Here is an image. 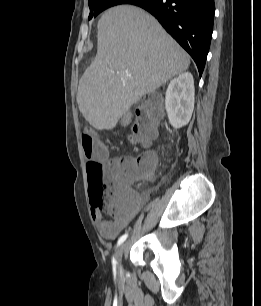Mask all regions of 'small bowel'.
<instances>
[{
  "label": "small bowel",
  "mask_w": 261,
  "mask_h": 306,
  "mask_svg": "<svg viewBox=\"0 0 261 306\" xmlns=\"http://www.w3.org/2000/svg\"><path fill=\"white\" fill-rule=\"evenodd\" d=\"M149 160L151 171L154 169L157 156L153 152H147L144 155ZM110 163L119 164L125 171L131 167H135L136 160L133 157H124L112 160ZM135 176L124 173L120 177L121 184L126 185L130 190V195L121 201H118L115 207L110 210V219L104 217L103 212L98 209H92L91 215L97 224L99 233L105 240H114L117 235L126 227L133 219L144 202V198L136 194L131 183Z\"/></svg>",
  "instance_id": "1"
}]
</instances>
